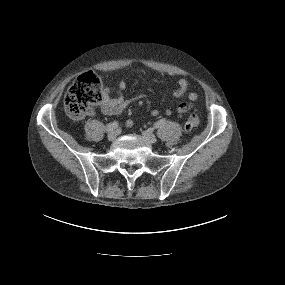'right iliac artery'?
<instances>
[{"label": "right iliac artery", "instance_id": "82829eb1", "mask_svg": "<svg viewBox=\"0 0 285 285\" xmlns=\"http://www.w3.org/2000/svg\"><path fill=\"white\" fill-rule=\"evenodd\" d=\"M118 127V122L114 121L112 123H109L107 126H106V131L107 132H110V131H113L114 129H116Z\"/></svg>", "mask_w": 285, "mask_h": 285}]
</instances>
